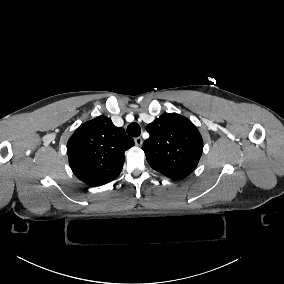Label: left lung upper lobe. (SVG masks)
Here are the masks:
<instances>
[{
  "mask_svg": "<svg viewBox=\"0 0 284 284\" xmlns=\"http://www.w3.org/2000/svg\"><path fill=\"white\" fill-rule=\"evenodd\" d=\"M149 139L142 146L149 165L171 179L193 172L202 154L203 140L196 126L177 113L163 114L148 124Z\"/></svg>",
  "mask_w": 284,
  "mask_h": 284,
  "instance_id": "1",
  "label": "left lung upper lobe"
}]
</instances>
